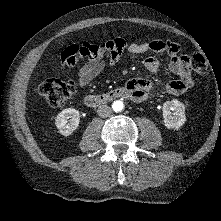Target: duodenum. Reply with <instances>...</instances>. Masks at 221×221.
I'll return each mask as SVG.
<instances>
[{"label":"duodenum","instance_id":"1","mask_svg":"<svg viewBox=\"0 0 221 221\" xmlns=\"http://www.w3.org/2000/svg\"><path fill=\"white\" fill-rule=\"evenodd\" d=\"M130 92L125 88H117L103 94H89L84 97V103L90 108H96L102 104L111 102L118 98H129Z\"/></svg>","mask_w":221,"mask_h":221}]
</instances>
